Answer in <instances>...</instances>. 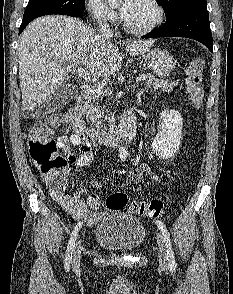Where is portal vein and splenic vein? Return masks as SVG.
Wrapping results in <instances>:
<instances>
[{"label": "portal vein and splenic vein", "mask_w": 233, "mask_h": 294, "mask_svg": "<svg viewBox=\"0 0 233 294\" xmlns=\"http://www.w3.org/2000/svg\"><path fill=\"white\" fill-rule=\"evenodd\" d=\"M71 67H72L71 65H68L67 69H71ZM73 71H75L83 79L90 81L89 73L85 69L78 67V68H75ZM143 80H146L145 75L139 76L136 79L137 82L138 81H143Z\"/></svg>", "instance_id": "18ae733b"}]
</instances>
